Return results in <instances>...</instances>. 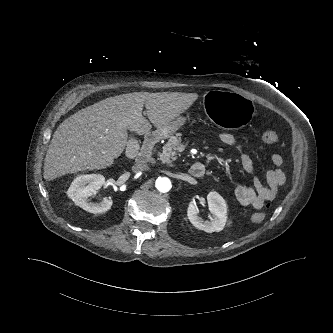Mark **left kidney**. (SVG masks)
Wrapping results in <instances>:
<instances>
[{"label": "left kidney", "mask_w": 333, "mask_h": 333, "mask_svg": "<svg viewBox=\"0 0 333 333\" xmlns=\"http://www.w3.org/2000/svg\"><path fill=\"white\" fill-rule=\"evenodd\" d=\"M209 211L212 214L211 222L204 221L198 216L195 200L189 203L187 216L190 222L199 230L208 233L220 232L224 229L227 221V205L223 197L215 191L207 195Z\"/></svg>", "instance_id": "5707ae66"}]
</instances>
